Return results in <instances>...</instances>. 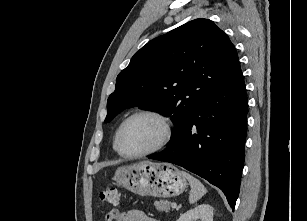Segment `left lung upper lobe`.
I'll return each mask as SVG.
<instances>
[{
	"mask_svg": "<svg viewBox=\"0 0 307 221\" xmlns=\"http://www.w3.org/2000/svg\"><path fill=\"white\" fill-rule=\"evenodd\" d=\"M238 62L235 47L212 21H190L149 41L134 54L117 76L104 122L138 106L170 117L178 132L193 109L225 82Z\"/></svg>",
	"mask_w": 307,
	"mask_h": 221,
	"instance_id": "obj_1",
	"label": "left lung upper lobe"
}]
</instances>
